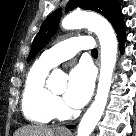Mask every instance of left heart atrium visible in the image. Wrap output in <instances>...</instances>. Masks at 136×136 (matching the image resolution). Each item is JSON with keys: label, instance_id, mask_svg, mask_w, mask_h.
<instances>
[{"label": "left heart atrium", "instance_id": "1", "mask_svg": "<svg viewBox=\"0 0 136 136\" xmlns=\"http://www.w3.org/2000/svg\"><path fill=\"white\" fill-rule=\"evenodd\" d=\"M94 80L95 75L90 65L80 63L74 67L64 95L66 103L73 108L83 107L92 95Z\"/></svg>", "mask_w": 136, "mask_h": 136}]
</instances>
